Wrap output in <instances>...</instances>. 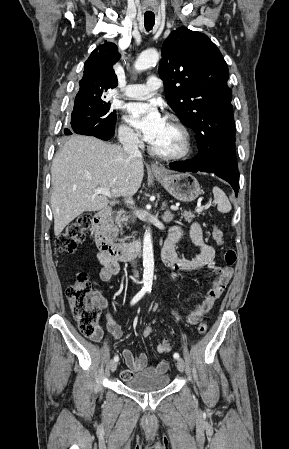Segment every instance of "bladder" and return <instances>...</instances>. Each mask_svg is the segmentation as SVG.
I'll list each match as a JSON object with an SVG mask.
<instances>
[{
  "label": "bladder",
  "instance_id": "31cf9c89",
  "mask_svg": "<svg viewBox=\"0 0 289 449\" xmlns=\"http://www.w3.org/2000/svg\"><path fill=\"white\" fill-rule=\"evenodd\" d=\"M169 382L170 377L166 373H139L125 380L124 385L131 390L148 391L165 388Z\"/></svg>",
  "mask_w": 289,
  "mask_h": 449
}]
</instances>
